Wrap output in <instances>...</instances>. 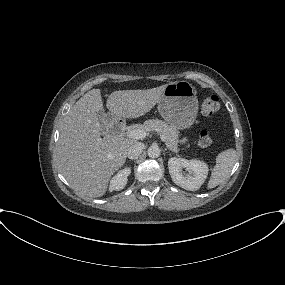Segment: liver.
I'll use <instances>...</instances> for the list:
<instances>
[{
	"label": "liver",
	"mask_w": 285,
	"mask_h": 285,
	"mask_svg": "<svg viewBox=\"0 0 285 285\" xmlns=\"http://www.w3.org/2000/svg\"><path fill=\"white\" fill-rule=\"evenodd\" d=\"M166 86L114 91L106 106L117 118H138L161 100ZM99 110H103L101 90L92 89L65 117L57 150L62 175L79 194L92 198L106 193L111 176L124 165L129 147L136 142L121 135L101 138Z\"/></svg>",
	"instance_id": "liver-1"
}]
</instances>
